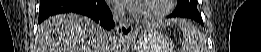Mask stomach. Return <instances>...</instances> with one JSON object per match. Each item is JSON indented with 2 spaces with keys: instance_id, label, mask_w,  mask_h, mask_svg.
I'll return each mask as SVG.
<instances>
[{
  "instance_id": "stomach-1",
  "label": "stomach",
  "mask_w": 261,
  "mask_h": 52,
  "mask_svg": "<svg viewBox=\"0 0 261 52\" xmlns=\"http://www.w3.org/2000/svg\"><path fill=\"white\" fill-rule=\"evenodd\" d=\"M130 43L135 52H169L170 45L168 39L153 28L136 31Z\"/></svg>"
}]
</instances>
